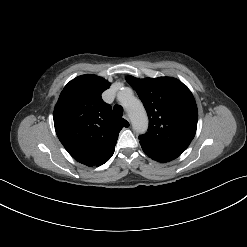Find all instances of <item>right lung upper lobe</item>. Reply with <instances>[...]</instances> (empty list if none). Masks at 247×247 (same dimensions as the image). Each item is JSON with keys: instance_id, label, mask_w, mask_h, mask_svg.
<instances>
[{"instance_id": "obj_1", "label": "right lung upper lobe", "mask_w": 247, "mask_h": 247, "mask_svg": "<svg viewBox=\"0 0 247 247\" xmlns=\"http://www.w3.org/2000/svg\"><path fill=\"white\" fill-rule=\"evenodd\" d=\"M109 87L102 77L78 76L65 86L54 109L60 142L76 161L87 166L97 165L115 146L120 130L129 126L101 99Z\"/></svg>"}]
</instances>
